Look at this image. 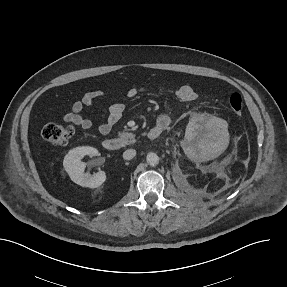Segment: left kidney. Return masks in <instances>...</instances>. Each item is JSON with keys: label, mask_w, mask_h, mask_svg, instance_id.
<instances>
[{"label": "left kidney", "mask_w": 287, "mask_h": 287, "mask_svg": "<svg viewBox=\"0 0 287 287\" xmlns=\"http://www.w3.org/2000/svg\"><path fill=\"white\" fill-rule=\"evenodd\" d=\"M200 125H198L196 119H191L186 127L185 131V140L190 142H195L199 144V146H207L209 149H211V157L217 156L220 154L222 150L225 149V145L223 143V137L217 138V140L214 142L208 138H211L212 135L206 136L202 134L199 130ZM221 132H218V136H220ZM207 138V139H206Z\"/></svg>", "instance_id": "1"}]
</instances>
